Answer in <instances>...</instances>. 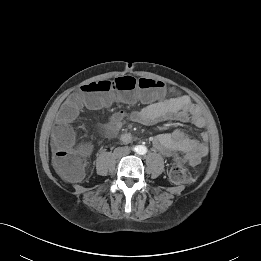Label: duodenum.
Returning <instances> with one entry per match:
<instances>
[{
    "mask_svg": "<svg viewBox=\"0 0 261 261\" xmlns=\"http://www.w3.org/2000/svg\"><path fill=\"white\" fill-rule=\"evenodd\" d=\"M122 140L123 141H129V140H131V137L128 134H125V135L122 136Z\"/></svg>",
    "mask_w": 261,
    "mask_h": 261,
    "instance_id": "410a0bca",
    "label": "duodenum"
}]
</instances>
